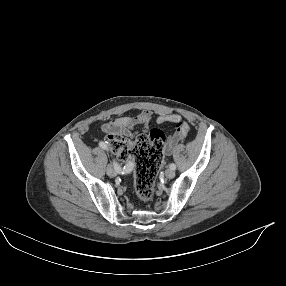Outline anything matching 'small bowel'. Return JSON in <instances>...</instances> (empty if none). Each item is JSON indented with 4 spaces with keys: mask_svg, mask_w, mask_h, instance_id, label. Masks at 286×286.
Segmentation results:
<instances>
[{
    "mask_svg": "<svg viewBox=\"0 0 286 286\" xmlns=\"http://www.w3.org/2000/svg\"><path fill=\"white\" fill-rule=\"evenodd\" d=\"M151 121L152 113L148 110H142L136 116L113 118L103 123L101 129L106 134V138L111 134L132 137L138 130L147 132ZM156 123L159 125L171 123L177 126V131L168 138L165 146V153L170 155L175 147L186 138L190 129L189 125L184 122L183 116L177 113H161L157 116ZM131 168L132 163H128L125 172Z\"/></svg>",
    "mask_w": 286,
    "mask_h": 286,
    "instance_id": "small-bowel-1",
    "label": "small bowel"
}]
</instances>
